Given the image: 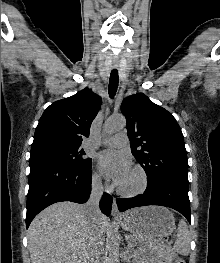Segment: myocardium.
Segmentation results:
<instances>
[{
    "label": "myocardium",
    "instance_id": "f54148a6",
    "mask_svg": "<svg viewBox=\"0 0 220 263\" xmlns=\"http://www.w3.org/2000/svg\"><path fill=\"white\" fill-rule=\"evenodd\" d=\"M134 171L138 172L141 178L140 186L134 190H125L117 186V193L123 197L132 198L143 194L148 187V175L143 167L140 165H135L132 168Z\"/></svg>",
    "mask_w": 220,
    "mask_h": 263
}]
</instances>
